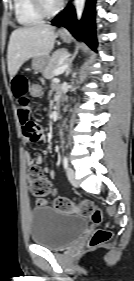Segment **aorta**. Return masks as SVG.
Listing matches in <instances>:
<instances>
[{"mask_svg": "<svg viewBox=\"0 0 134 281\" xmlns=\"http://www.w3.org/2000/svg\"><path fill=\"white\" fill-rule=\"evenodd\" d=\"M84 5H85V0H75V9L78 19H80L82 16Z\"/></svg>", "mask_w": 134, "mask_h": 281, "instance_id": "762f6f07", "label": "aorta"}]
</instances>
